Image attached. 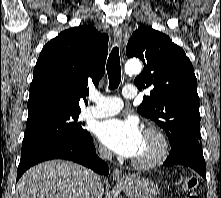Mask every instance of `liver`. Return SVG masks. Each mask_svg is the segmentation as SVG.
Listing matches in <instances>:
<instances>
[{"instance_id": "1", "label": "liver", "mask_w": 221, "mask_h": 198, "mask_svg": "<svg viewBox=\"0 0 221 198\" xmlns=\"http://www.w3.org/2000/svg\"><path fill=\"white\" fill-rule=\"evenodd\" d=\"M91 171L70 161L52 160L31 167L19 180L16 198H102L101 184L89 189Z\"/></svg>"}]
</instances>
